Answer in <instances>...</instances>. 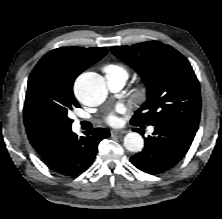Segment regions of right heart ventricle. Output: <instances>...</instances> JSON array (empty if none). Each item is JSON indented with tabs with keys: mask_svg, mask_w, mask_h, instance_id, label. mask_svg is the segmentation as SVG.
<instances>
[{
	"mask_svg": "<svg viewBox=\"0 0 222 219\" xmlns=\"http://www.w3.org/2000/svg\"><path fill=\"white\" fill-rule=\"evenodd\" d=\"M104 70L106 73L121 72L128 77V72L126 71V69L120 65H117V64L106 65Z\"/></svg>",
	"mask_w": 222,
	"mask_h": 219,
	"instance_id": "obj_1",
	"label": "right heart ventricle"
}]
</instances>
